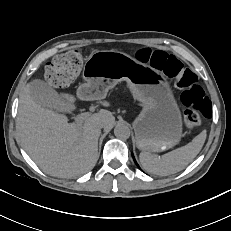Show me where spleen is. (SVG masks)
Here are the masks:
<instances>
[{"instance_id": "3e777b00", "label": "spleen", "mask_w": 231, "mask_h": 231, "mask_svg": "<svg viewBox=\"0 0 231 231\" xmlns=\"http://www.w3.org/2000/svg\"><path fill=\"white\" fill-rule=\"evenodd\" d=\"M206 140V130H203L190 143L163 156H157L146 151L140 153L143 168L155 175L167 176L183 170L200 152Z\"/></svg>"}]
</instances>
